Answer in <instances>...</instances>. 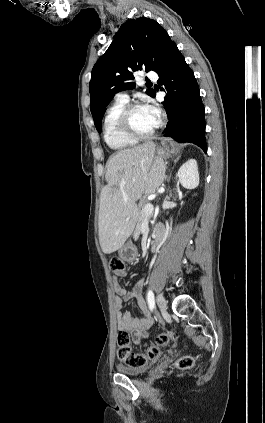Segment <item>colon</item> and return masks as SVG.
<instances>
[{
    "label": "colon",
    "mask_w": 265,
    "mask_h": 423,
    "mask_svg": "<svg viewBox=\"0 0 265 423\" xmlns=\"http://www.w3.org/2000/svg\"><path fill=\"white\" fill-rule=\"evenodd\" d=\"M109 267L113 273H120L124 270V261L119 257H112ZM169 334L161 333L156 336L154 343L146 348L143 352H133L130 346V337L128 332L121 330L117 336V356L130 368H140L145 366L149 361L156 359L163 348L169 344ZM194 364L192 356H183L178 359L176 366L180 370L190 368Z\"/></svg>",
    "instance_id": "1"
}]
</instances>
